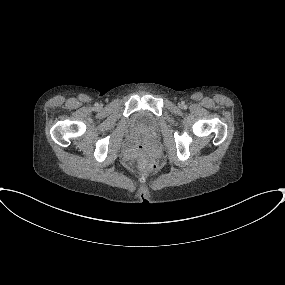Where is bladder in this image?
Here are the masks:
<instances>
[{
  "mask_svg": "<svg viewBox=\"0 0 285 285\" xmlns=\"http://www.w3.org/2000/svg\"><path fill=\"white\" fill-rule=\"evenodd\" d=\"M156 126L154 118L146 111H138L135 113L132 131L135 136H139L153 130Z\"/></svg>",
  "mask_w": 285,
  "mask_h": 285,
  "instance_id": "bladder-1",
  "label": "bladder"
}]
</instances>
